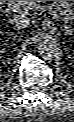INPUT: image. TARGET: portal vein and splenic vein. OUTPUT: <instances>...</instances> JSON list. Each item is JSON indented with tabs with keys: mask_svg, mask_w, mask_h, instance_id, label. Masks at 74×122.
Wrapping results in <instances>:
<instances>
[{
	"mask_svg": "<svg viewBox=\"0 0 74 122\" xmlns=\"http://www.w3.org/2000/svg\"><path fill=\"white\" fill-rule=\"evenodd\" d=\"M27 4L32 5V3H29L28 1H23V5H27ZM12 8L14 11H18L21 9V7L19 5H13ZM31 9H40V10L46 9V10L50 11L54 16L57 15V10H54L51 5H47V6L39 5V6H34Z\"/></svg>",
	"mask_w": 74,
	"mask_h": 122,
	"instance_id": "obj_1",
	"label": "portal vein and splenic vein"
}]
</instances>
